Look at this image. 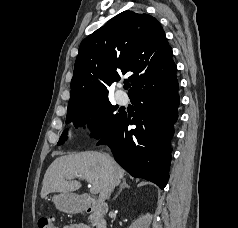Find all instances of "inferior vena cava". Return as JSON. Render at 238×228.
<instances>
[{
	"label": "inferior vena cava",
	"instance_id": "obj_1",
	"mask_svg": "<svg viewBox=\"0 0 238 228\" xmlns=\"http://www.w3.org/2000/svg\"><path fill=\"white\" fill-rule=\"evenodd\" d=\"M105 156H106V159H107L108 163H110L111 162V157L108 154H105ZM113 189H114V185L112 184L108 189V193H107L108 198L110 197V194L113 191Z\"/></svg>",
	"mask_w": 238,
	"mask_h": 228
}]
</instances>
